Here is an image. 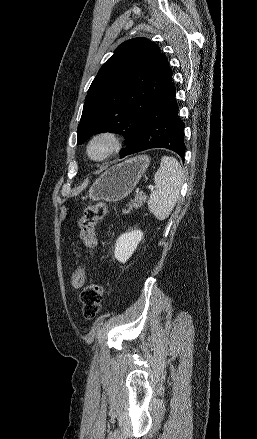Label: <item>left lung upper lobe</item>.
<instances>
[{"mask_svg":"<svg viewBox=\"0 0 257 439\" xmlns=\"http://www.w3.org/2000/svg\"><path fill=\"white\" fill-rule=\"evenodd\" d=\"M172 81L159 47L146 38L120 44L93 80L78 125V144L101 132L123 134L126 150L136 145L146 113Z\"/></svg>","mask_w":257,"mask_h":439,"instance_id":"obj_1","label":"left lung upper lobe"}]
</instances>
